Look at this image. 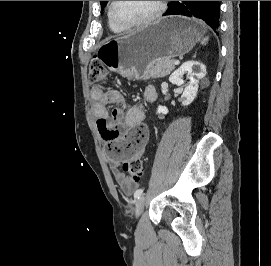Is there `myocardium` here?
<instances>
[{"label": "myocardium", "instance_id": "1", "mask_svg": "<svg viewBox=\"0 0 271 266\" xmlns=\"http://www.w3.org/2000/svg\"><path fill=\"white\" fill-rule=\"evenodd\" d=\"M115 4H116V1H111L109 4V7H108L109 17H110L111 21L116 26H118L119 28L124 29V30L140 28V27L149 25V24L155 22L156 20H158L163 15V13L165 11V1H157L156 2V9L150 16H148L147 18H145L139 22L124 23V22L118 20L114 14Z\"/></svg>", "mask_w": 271, "mask_h": 266}]
</instances>
